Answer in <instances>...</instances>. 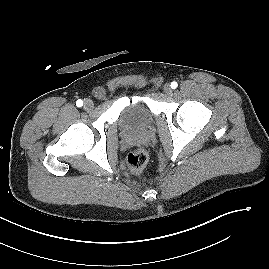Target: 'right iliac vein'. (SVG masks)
Wrapping results in <instances>:
<instances>
[{
  "mask_svg": "<svg viewBox=\"0 0 269 269\" xmlns=\"http://www.w3.org/2000/svg\"><path fill=\"white\" fill-rule=\"evenodd\" d=\"M93 107H94V103H93L92 100H90V99H86V100L84 101V109H86V110H91Z\"/></svg>",
  "mask_w": 269,
  "mask_h": 269,
  "instance_id": "obj_1",
  "label": "right iliac vein"
}]
</instances>
